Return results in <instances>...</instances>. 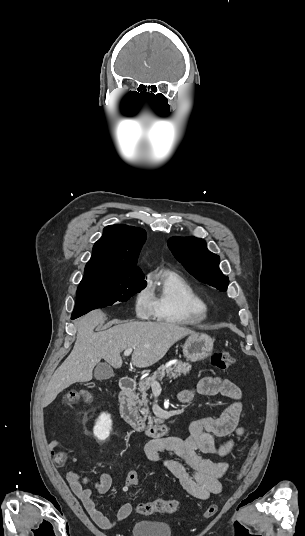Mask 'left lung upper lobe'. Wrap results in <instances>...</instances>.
Here are the masks:
<instances>
[{"label": "left lung upper lobe", "instance_id": "5c2ea615", "mask_svg": "<svg viewBox=\"0 0 305 536\" xmlns=\"http://www.w3.org/2000/svg\"><path fill=\"white\" fill-rule=\"evenodd\" d=\"M168 247L195 278L220 291L227 290L229 280L219 269L220 258L208 251L203 239L172 237L168 241Z\"/></svg>", "mask_w": 305, "mask_h": 536}]
</instances>
